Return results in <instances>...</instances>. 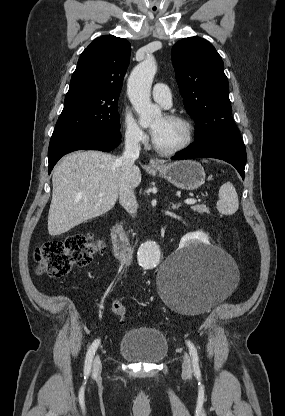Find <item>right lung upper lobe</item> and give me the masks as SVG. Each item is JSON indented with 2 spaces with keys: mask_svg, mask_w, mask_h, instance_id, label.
<instances>
[{
  "mask_svg": "<svg viewBox=\"0 0 285 416\" xmlns=\"http://www.w3.org/2000/svg\"><path fill=\"white\" fill-rule=\"evenodd\" d=\"M130 51L126 39L116 36L95 39L82 52L67 95L84 99L119 97Z\"/></svg>",
  "mask_w": 285,
  "mask_h": 416,
  "instance_id": "cb5924a9",
  "label": "right lung upper lobe"
}]
</instances>
